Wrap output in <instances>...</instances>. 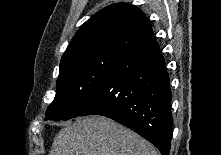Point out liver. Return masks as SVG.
Segmentation results:
<instances>
[{
  "instance_id": "6515ba94",
  "label": "liver",
  "mask_w": 221,
  "mask_h": 155,
  "mask_svg": "<svg viewBox=\"0 0 221 155\" xmlns=\"http://www.w3.org/2000/svg\"><path fill=\"white\" fill-rule=\"evenodd\" d=\"M50 155H158V152L121 124L103 116H88L59 131Z\"/></svg>"
}]
</instances>
